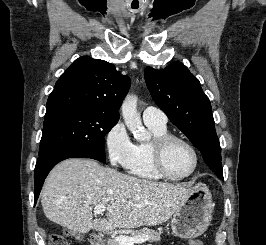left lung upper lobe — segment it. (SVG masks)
Listing matches in <instances>:
<instances>
[{"label":"left lung upper lobe","mask_w":266,"mask_h":245,"mask_svg":"<svg viewBox=\"0 0 266 245\" xmlns=\"http://www.w3.org/2000/svg\"><path fill=\"white\" fill-rule=\"evenodd\" d=\"M144 77L158 107L200 150L210 169L223 178L221 148L211 104L199 80L179 62L162 70L148 66Z\"/></svg>","instance_id":"1"}]
</instances>
